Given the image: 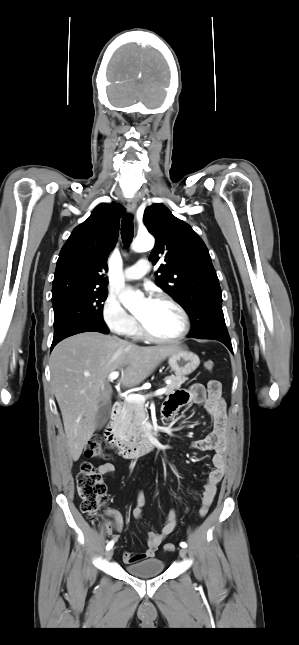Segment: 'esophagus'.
Instances as JSON below:
<instances>
[{"mask_svg":"<svg viewBox=\"0 0 299 645\" xmlns=\"http://www.w3.org/2000/svg\"><path fill=\"white\" fill-rule=\"evenodd\" d=\"M126 207H127V211H128L130 214H134V213H135V211H136V208H137V201H136V199H134V198L130 199V200L128 201V203H127V206H126Z\"/></svg>","mask_w":299,"mask_h":645,"instance_id":"esophagus-1","label":"esophagus"}]
</instances>
